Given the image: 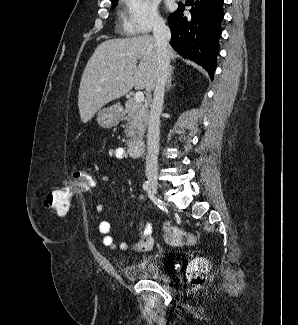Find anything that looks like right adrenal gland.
<instances>
[{
	"mask_svg": "<svg viewBox=\"0 0 298 325\" xmlns=\"http://www.w3.org/2000/svg\"><path fill=\"white\" fill-rule=\"evenodd\" d=\"M172 74H173V68H170L169 74H168V80L166 82V84H167L166 90H169L170 86H172ZM166 90H164V92H166Z\"/></svg>",
	"mask_w": 298,
	"mask_h": 325,
	"instance_id": "2a0ac1e0",
	"label": "right adrenal gland"
}]
</instances>
